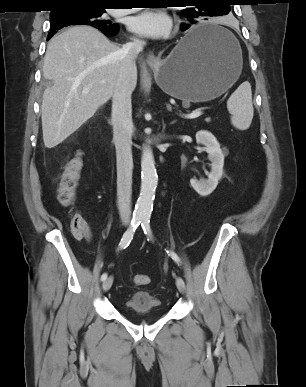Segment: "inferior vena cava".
Instances as JSON below:
<instances>
[{"label":"inferior vena cava","mask_w":306,"mask_h":387,"mask_svg":"<svg viewBox=\"0 0 306 387\" xmlns=\"http://www.w3.org/2000/svg\"><path fill=\"white\" fill-rule=\"evenodd\" d=\"M145 42L133 39L120 50L119 77L112 94L113 141L117 159V203L123 222L131 219L132 169V72Z\"/></svg>","instance_id":"602c4592"}]
</instances>
